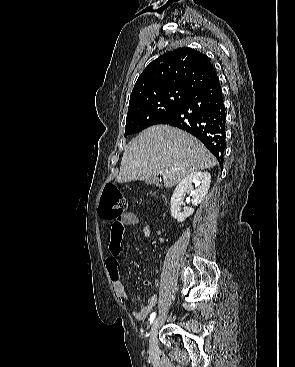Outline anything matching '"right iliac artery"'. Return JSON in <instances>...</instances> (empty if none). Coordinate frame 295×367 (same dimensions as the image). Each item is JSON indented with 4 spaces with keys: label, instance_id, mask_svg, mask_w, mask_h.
I'll list each match as a JSON object with an SVG mask.
<instances>
[{
    "label": "right iliac artery",
    "instance_id": "82829eb1",
    "mask_svg": "<svg viewBox=\"0 0 295 367\" xmlns=\"http://www.w3.org/2000/svg\"><path fill=\"white\" fill-rule=\"evenodd\" d=\"M155 316H156V313H155V312H153V313L150 315V318H149V322H150V324L154 321Z\"/></svg>",
    "mask_w": 295,
    "mask_h": 367
}]
</instances>
